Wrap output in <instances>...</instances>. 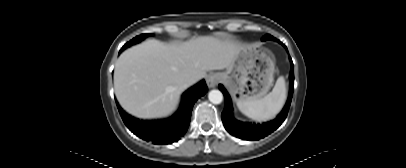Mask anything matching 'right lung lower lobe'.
I'll use <instances>...</instances> for the list:
<instances>
[{"mask_svg": "<svg viewBox=\"0 0 406 168\" xmlns=\"http://www.w3.org/2000/svg\"><path fill=\"white\" fill-rule=\"evenodd\" d=\"M123 49L120 50V52ZM207 92L204 80L186 90L178 110L170 117L157 120H139L118 107L120 115L131 132L154 144H171L183 136L190 124L192 109L198 98Z\"/></svg>", "mask_w": 406, "mask_h": 168, "instance_id": "98d812e1", "label": "right lung lower lobe"}]
</instances>
